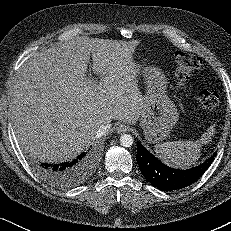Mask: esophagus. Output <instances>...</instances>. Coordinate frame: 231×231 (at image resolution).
Wrapping results in <instances>:
<instances>
[{
    "instance_id": "1",
    "label": "esophagus",
    "mask_w": 231,
    "mask_h": 231,
    "mask_svg": "<svg viewBox=\"0 0 231 231\" xmlns=\"http://www.w3.org/2000/svg\"><path fill=\"white\" fill-rule=\"evenodd\" d=\"M128 131V127L125 124H118L116 126V132L122 134Z\"/></svg>"
}]
</instances>
